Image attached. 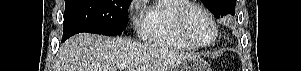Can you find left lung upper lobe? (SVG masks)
I'll return each instance as SVG.
<instances>
[{
    "label": "left lung upper lobe",
    "instance_id": "1",
    "mask_svg": "<svg viewBox=\"0 0 301 71\" xmlns=\"http://www.w3.org/2000/svg\"><path fill=\"white\" fill-rule=\"evenodd\" d=\"M216 18L227 14L235 15V0H201Z\"/></svg>",
    "mask_w": 301,
    "mask_h": 71
}]
</instances>
